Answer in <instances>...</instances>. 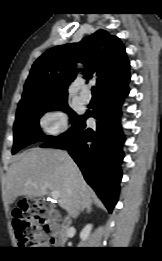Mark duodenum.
<instances>
[{
	"instance_id": "410a0bca",
	"label": "duodenum",
	"mask_w": 162,
	"mask_h": 261,
	"mask_svg": "<svg viewBox=\"0 0 162 261\" xmlns=\"http://www.w3.org/2000/svg\"><path fill=\"white\" fill-rule=\"evenodd\" d=\"M44 228L46 233L52 236V243L59 247L64 246L68 237L72 235L68 230L59 226L54 221H47Z\"/></svg>"
}]
</instances>
